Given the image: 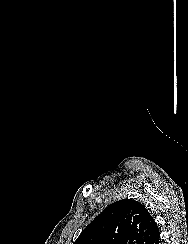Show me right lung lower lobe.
<instances>
[{
  "instance_id": "obj_1",
  "label": "right lung lower lobe",
  "mask_w": 188,
  "mask_h": 244,
  "mask_svg": "<svg viewBox=\"0 0 188 244\" xmlns=\"http://www.w3.org/2000/svg\"><path fill=\"white\" fill-rule=\"evenodd\" d=\"M161 240H160V236L159 233L156 234L151 241L149 242V244H160Z\"/></svg>"
}]
</instances>
